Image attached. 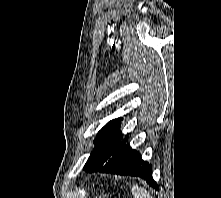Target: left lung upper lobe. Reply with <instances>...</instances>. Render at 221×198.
Returning <instances> with one entry per match:
<instances>
[{
  "label": "left lung upper lobe",
  "instance_id": "1",
  "mask_svg": "<svg viewBox=\"0 0 221 198\" xmlns=\"http://www.w3.org/2000/svg\"><path fill=\"white\" fill-rule=\"evenodd\" d=\"M119 120H122V118L110 121L99 131L97 139L94 140L95 143H98V146L88 158L84 166L85 171H99L109 158L126 142L127 138L122 141V133L119 132Z\"/></svg>",
  "mask_w": 221,
  "mask_h": 198
}]
</instances>
